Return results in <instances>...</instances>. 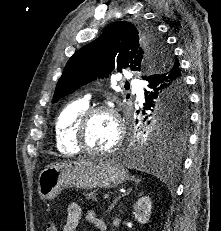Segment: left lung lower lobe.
I'll return each instance as SVG.
<instances>
[{
    "label": "left lung lower lobe",
    "mask_w": 221,
    "mask_h": 231,
    "mask_svg": "<svg viewBox=\"0 0 221 231\" xmlns=\"http://www.w3.org/2000/svg\"><path fill=\"white\" fill-rule=\"evenodd\" d=\"M177 61V59H172L171 66L168 63L163 70L143 78L148 82L145 89V102L152 101L159 97L162 100L164 109L176 104L177 100L172 98L173 95L169 99L170 94H172L175 89H185L184 76L179 67L180 64H177ZM184 142L183 140L171 142L161 136H153L147 146L135 152L134 158L138 161H152L155 160L164 149H171L172 155H175L174 160L178 162L176 154L181 151Z\"/></svg>",
    "instance_id": "1"
}]
</instances>
